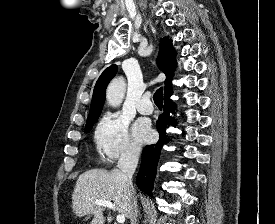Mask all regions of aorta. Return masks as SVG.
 <instances>
[{
    "instance_id": "aorta-1",
    "label": "aorta",
    "mask_w": 275,
    "mask_h": 224,
    "mask_svg": "<svg viewBox=\"0 0 275 224\" xmlns=\"http://www.w3.org/2000/svg\"><path fill=\"white\" fill-rule=\"evenodd\" d=\"M126 90V83L122 77L114 79L107 88V101L112 107H117L122 103Z\"/></svg>"
}]
</instances>
